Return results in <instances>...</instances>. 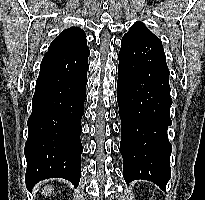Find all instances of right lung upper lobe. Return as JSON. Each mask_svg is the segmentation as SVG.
I'll use <instances>...</instances> for the list:
<instances>
[{
	"label": "right lung upper lobe",
	"instance_id": "1",
	"mask_svg": "<svg viewBox=\"0 0 205 200\" xmlns=\"http://www.w3.org/2000/svg\"><path fill=\"white\" fill-rule=\"evenodd\" d=\"M86 45L85 32L78 27H71L53 40L48 52H77L86 48Z\"/></svg>",
	"mask_w": 205,
	"mask_h": 200
}]
</instances>
